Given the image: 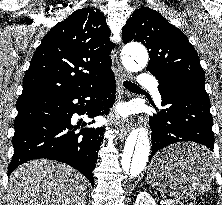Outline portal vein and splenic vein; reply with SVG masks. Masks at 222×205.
I'll list each match as a JSON object with an SVG mask.
<instances>
[{"instance_id": "portal-vein-and-splenic-vein-1", "label": "portal vein and splenic vein", "mask_w": 222, "mask_h": 205, "mask_svg": "<svg viewBox=\"0 0 222 205\" xmlns=\"http://www.w3.org/2000/svg\"><path fill=\"white\" fill-rule=\"evenodd\" d=\"M166 202H167V203H168V202H170V203H171V202H172V199L166 200Z\"/></svg>"}]
</instances>
